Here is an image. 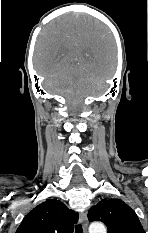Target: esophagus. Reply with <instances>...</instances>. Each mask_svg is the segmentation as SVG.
<instances>
[{"mask_svg":"<svg viewBox=\"0 0 148 233\" xmlns=\"http://www.w3.org/2000/svg\"><path fill=\"white\" fill-rule=\"evenodd\" d=\"M80 221L82 223L84 233H88V231H87V229H88V220H87L86 213H81L80 214Z\"/></svg>","mask_w":148,"mask_h":233,"instance_id":"1","label":"esophagus"}]
</instances>
